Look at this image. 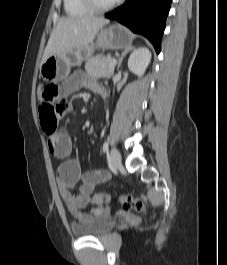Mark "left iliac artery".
Listing matches in <instances>:
<instances>
[{
    "label": "left iliac artery",
    "instance_id": "44dca946",
    "mask_svg": "<svg viewBox=\"0 0 227 265\" xmlns=\"http://www.w3.org/2000/svg\"><path fill=\"white\" fill-rule=\"evenodd\" d=\"M107 150H108V141H105L103 145V152H106Z\"/></svg>",
    "mask_w": 227,
    "mask_h": 265
}]
</instances>
